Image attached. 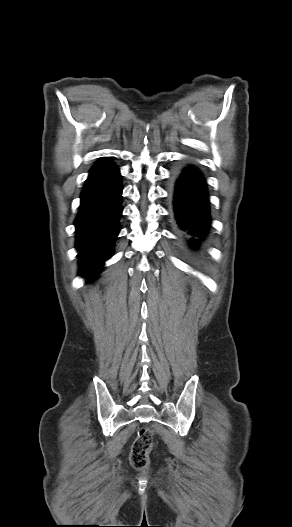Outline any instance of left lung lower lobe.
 <instances>
[{
  "label": "left lung lower lobe",
  "instance_id": "0a47b994",
  "mask_svg": "<svg viewBox=\"0 0 292 527\" xmlns=\"http://www.w3.org/2000/svg\"><path fill=\"white\" fill-rule=\"evenodd\" d=\"M174 208L178 224L194 237H202L210 224L208 197L202 175L194 168H185L175 175ZM192 245L198 243L190 238Z\"/></svg>",
  "mask_w": 292,
  "mask_h": 527
}]
</instances>
